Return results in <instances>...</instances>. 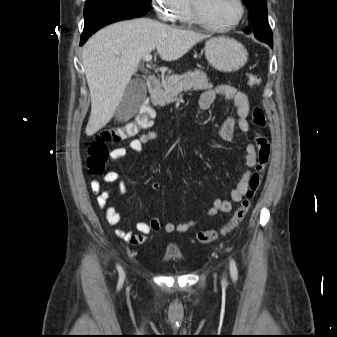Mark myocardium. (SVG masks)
Returning a JSON list of instances; mask_svg holds the SVG:
<instances>
[{
	"label": "myocardium",
	"instance_id": "1",
	"mask_svg": "<svg viewBox=\"0 0 337 337\" xmlns=\"http://www.w3.org/2000/svg\"><path fill=\"white\" fill-rule=\"evenodd\" d=\"M188 1H189L190 12H191L194 22L212 31L222 32V31L231 30L235 28L236 26H238L245 16L244 1L236 0L238 4V8H239V13L236 19L228 24H215V23L210 22L203 16L198 6L197 0H188Z\"/></svg>",
	"mask_w": 337,
	"mask_h": 337
}]
</instances>
